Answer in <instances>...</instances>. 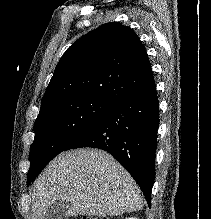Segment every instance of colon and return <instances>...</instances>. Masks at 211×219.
Listing matches in <instances>:
<instances>
[{
    "instance_id": "obj_1",
    "label": "colon",
    "mask_w": 211,
    "mask_h": 219,
    "mask_svg": "<svg viewBox=\"0 0 211 219\" xmlns=\"http://www.w3.org/2000/svg\"><path fill=\"white\" fill-rule=\"evenodd\" d=\"M79 219H106V218H103V217H87V216H84V217H81Z\"/></svg>"
}]
</instances>
